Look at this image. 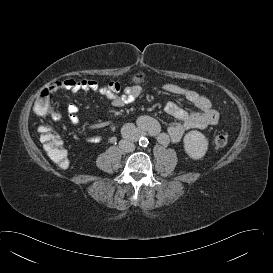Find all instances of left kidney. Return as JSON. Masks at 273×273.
I'll use <instances>...</instances> for the list:
<instances>
[{"instance_id": "1", "label": "left kidney", "mask_w": 273, "mask_h": 273, "mask_svg": "<svg viewBox=\"0 0 273 273\" xmlns=\"http://www.w3.org/2000/svg\"><path fill=\"white\" fill-rule=\"evenodd\" d=\"M184 150L192 159L202 158L208 149V139L199 131L188 132L183 139Z\"/></svg>"}]
</instances>
